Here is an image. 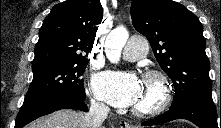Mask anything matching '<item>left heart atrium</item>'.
Returning <instances> with one entry per match:
<instances>
[{"label":"left heart atrium","mask_w":221,"mask_h":128,"mask_svg":"<svg viewBox=\"0 0 221 128\" xmlns=\"http://www.w3.org/2000/svg\"><path fill=\"white\" fill-rule=\"evenodd\" d=\"M97 94L118 107L133 106L142 89V81L135 73L107 72L94 81Z\"/></svg>","instance_id":"left-heart-atrium-1"}]
</instances>
